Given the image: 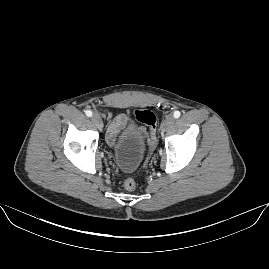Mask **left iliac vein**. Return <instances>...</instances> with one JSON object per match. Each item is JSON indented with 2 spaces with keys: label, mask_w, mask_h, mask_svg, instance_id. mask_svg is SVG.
<instances>
[{
  "label": "left iliac vein",
  "mask_w": 269,
  "mask_h": 269,
  "mask_svg": "<svg viewBox=\"0 0 269 269\" xmlns=\"http://www.w3.org/2000/svg\"><path fill=\"white\" fill-rule=\"evenodd\" d=\"M175 123V118L172 115H168L166 119L161 124V130L165 131L170 129Z\"/></svg>",
  "instance_id": "4c4485c4"
}]
</instances>
